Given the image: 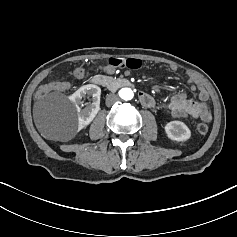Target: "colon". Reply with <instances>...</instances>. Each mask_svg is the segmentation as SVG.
<instances>
[{
	"label": "colon",
	"instance_id": "obj_1",
	"mask_svg": "<svg viewBox=\"0 0 237 237\" xmlns=\"http://www.w3.org/2000/svg\"><path fill=\"white\" fill-rule=\"evenodd\" d=\"M108 64L115 67V68H127L130 70H138L142 67V61L136 58H128V59H110L108 61ZM84 71L81 68H77L74 71L75 76H78L80 74H83ZM51 91V87L50 85H42L39 87L38 91H37V96L43 97L46 94H48ZM197 131L202 134L205 135L208 132V126L206 123H199L197 125Z\"/></svg>",
	"mask_w": 237,
	"mask_h": 237
}]
</instances>
